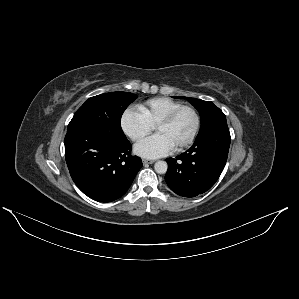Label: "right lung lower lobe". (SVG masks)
<instances>
[{"mask_svg": "<svg viewBox=\"0 0 299 299\" xmlns=\"http://www.w3.org/2000/svg\"><path fill=\"white\" fill-rule=\"evenodd\" d=\"M64 144L73 181L98 202L123 196L142 167L140 157L131 155L126 136L118 137L104 128H69Z\"/></svg>", "mask_w": 299, "mask_h": 299, "instance_id": "98d812e1", "label": "right lung lower lobe"}]
</instances>
